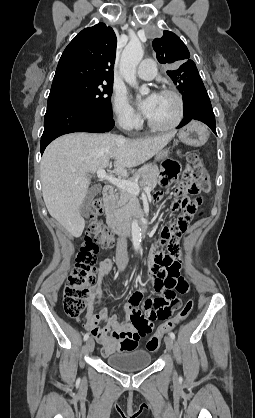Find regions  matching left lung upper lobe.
Returning a JSON list of instances; mask_svg holds the SVG:
<instances>
[{
    "label": "left lung upper lobe",
    "instance_id": "obj_1",
    "mask_svg": "<svg viewBox=\"0 0 255 418\" xmlns=\"http://www.w3.org/2000/svg\"><path fill=\"white\" fill-rule=\"evenodd\" d=\"M152 45L157 53V60L173 66L167 74L182 95L204 86L195 63L189 59L188 48L176 34L165 30L161 38L153 40Z\"/></svg>",
    "mask_w": 255,
    "mask_h": 418
}]
</instances>
